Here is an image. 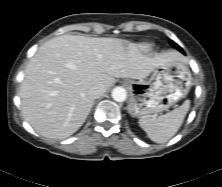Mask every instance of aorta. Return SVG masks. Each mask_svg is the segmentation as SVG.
<instances>
[{"label":"aorta","mask_w":222,"mask_h":187,"mask_svg":"<svg viewBox=\"0 0 222 187\" xmlns=\"http://www.w3.org/2000/svg\"><path fill=\"white\" fill-rule=\"evenodd\" d=\"M112 98L117 102H123L127 98V92L122 87H115L112 90Z\"/></svg>","instance_id":"762f6f07"}]
</instances>
